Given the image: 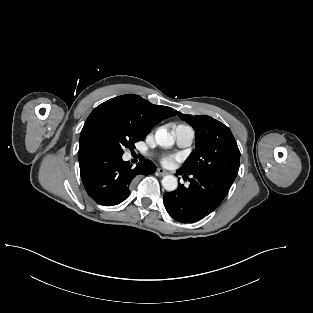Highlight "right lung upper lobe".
Returning a JSON list of instances; mask_svg holds the SVG:
<instances>
[{
	"instance_id": "1",
	"label": "right lung upper lobe",
	"mask_w": 313,
	"mask_h": 313,
	"mask_svg": "<svg viewBox=\"0 0 313 313\" xmlns=\"http://www.w3.org/2000/svg\"><path fill=\"white\" fill-rule=\"evenodd\" d=\"M111 113L128 118L146 135L162 120L175 115L170 107L154 105L134 94L112 98L97 106L87 118L80 135L78 157L97 151V129Z\"/></svg>"
}]
</instances>
